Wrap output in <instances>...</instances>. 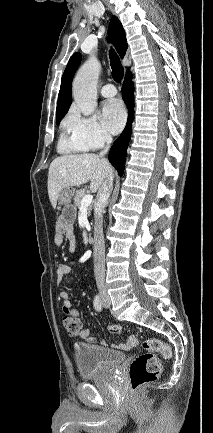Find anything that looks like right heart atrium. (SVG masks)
<instances>
[{
	"label": "right heart atrium",
	"instance_id": "1",
	"mask_svg": "<svg viewBox=\"0 0 213 433\" xmlns=\"http://www.w3.org/2000/svg\"><path fill=\"white\" fill-rule=\"evenodd\" d=\"M66 126L72 138L88 150L99 149L111 139L95 116H84L76 110L68 115Z\"/></svg>",
	"mask_w": 213,
	"mask_h": 433
}]
</instances>
